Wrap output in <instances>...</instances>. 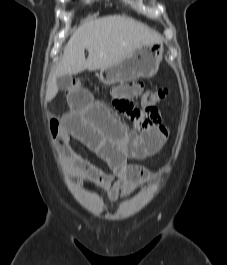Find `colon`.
<instances>
[{
    "label": "colon",
    "instance_id": "5ec220e1",
    "mask_svg": "<svg viewBox=\"0 0 227 265\" xmlns=\"http://www.w3.org/2000/svg\"><path fill=\"white\" fill-rule=\"evenodd\" d=\"M69 87H81L80 83L75 82ZM67 96L69 95L68 88L66 90ZM168 96L167 88H159L153 91H147L143 94L141 105L139 106V112H124L132 120H134L137 126L141 130H147L160 125L161 118L157 105L166 99ZM114 99H128L124 96L121 89H117L114 94ZM137 107V106H135ZM50 128L55 138L61 141V123L53 118L50 121Z\"/></svg>",
    "mask_w": 227,
    "mask_h": 265
}]
</instances>
